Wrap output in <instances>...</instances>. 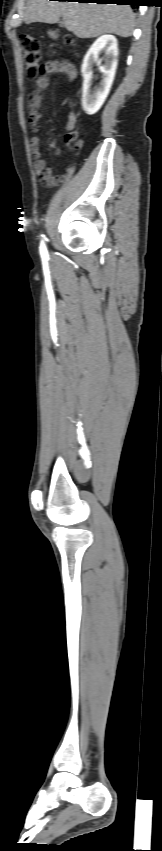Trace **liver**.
<instances>
[{
	"instance_id": "6515ba94",
	"label": "liver",
	"mask_w": 162,
	"mask_h": 851,
	"mask_svg": "<svg viewBox=\"0 0 162 851\" xmlns=\"http://www.w3.org/2000/svg\"><path fill=\"white\" fill-rule=\"evenodd\" d=\"M63 18L64 27L79 38H94L103 34L129 37L134 29V14L128 5L79 3L67 1L28 0L26 24L57 23Z\"/></svg>"
}]
</instances>
